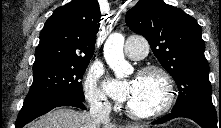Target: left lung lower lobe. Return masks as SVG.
<instances>
[{
    "mask_svg": "<svg viewBox=\"0 0 221 128\" xmlns=\"http://www.w3.org/2000/svg\"><path fill=\"white\" fill-rule=\"evenodd\" d=\"M177 117L192 119L202 128H221V117L216 112L213 104L192 103L179 110L172 111L170 114L157 119L152 124H162Z\"/></svg>",
    "mask_w": 221,
    "mask_h": 128,
    "instance_id": "left-lung-lower-lobe-1",
    "label": "left lung lower lobe"
}]
</instances>
